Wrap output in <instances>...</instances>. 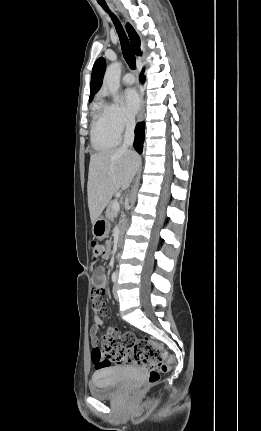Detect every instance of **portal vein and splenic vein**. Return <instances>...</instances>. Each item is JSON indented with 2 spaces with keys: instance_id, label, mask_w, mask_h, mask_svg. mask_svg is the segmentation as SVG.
<instances>
[{
  "instance_id": "18ae733b",
  "label": "portal vein and splenic vein",
  "mask_w": 261,
  "mask_h": 431,
  "mask_svg": "<svg viewBox=\"0 0 261 431\" xmlns=\"http://www.w3.org/2000/svg\"><path fill=\"white\" fill-rule=\"evenodd\" d=\"M113 208H114L115 211H118L120 209L119 202H115L114 205H113Z\"/></svg>"
}]
</instances>
